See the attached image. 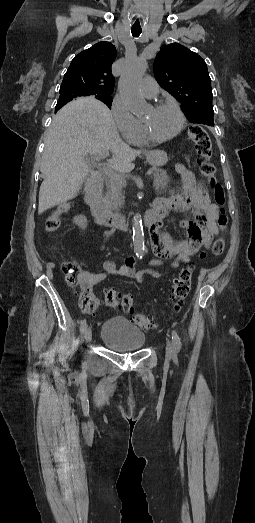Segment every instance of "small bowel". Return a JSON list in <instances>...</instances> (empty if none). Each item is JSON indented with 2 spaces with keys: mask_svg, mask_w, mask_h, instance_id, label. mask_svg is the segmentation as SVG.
Instances as JSON below:
<instances>
[{
  "mask_svg": "<svg viewBox=\"0 0 255 523\" xmlns=\"http://www.w3.org/2000/svg\"><path fill=\"white\" fill-rule=\"evenodd\" d=\"M179 172L182 175L181 191L168 199L172 211L192 213V220H185L180 224L187 237L178 241L169 240L160 231L161 223L150 230V245L155 258H150L148 264L160 267L169 261L168 271L177 270L180 263L190 262L202 246L209 247L218 232V207L211 201L206 188L196 181L192 172L182 167H179ZM135 264L136 259L133 257L127 258L121 266H117L112 260H105L103 272H82V280L86 285L93 286L109 275H119L145 284V276L158 280L164 275L153 268L136 270Z\"/></svg>",
  "mask_w": 255,
  "mask_h": 523,
  "instance_id": "1",
  "label": "small bowel"
}]
</instances>
